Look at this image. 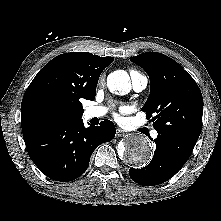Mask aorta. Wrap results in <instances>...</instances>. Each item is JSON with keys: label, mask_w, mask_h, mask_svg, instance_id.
I'll return each mask as SVG.
<instances>
[{"label": "aorta", "mask_w": 221, "mask_h": 221, "mask_svg": "<svg viewBox=\"0 0 221 221\" xmlns=\"http://www.w3.org/2000/svg\"><path fill=\"white\" fill-rule=\"evenodd\" d=\"M130 77L124 70H116L108 75L107 86L110 92L125 95L129 93ZM118 154L122 160L130 165L143 166L152 158V148L147 137L132 134L118 146Z\"/></svg>", "instance_id": "762f6f07"}]
</instances>
